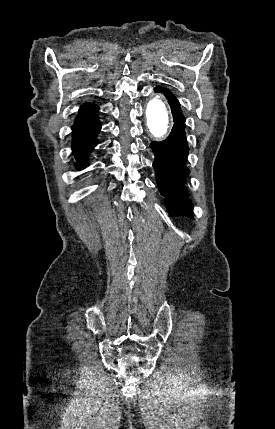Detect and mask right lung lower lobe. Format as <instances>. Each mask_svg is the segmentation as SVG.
I'll return each instance as SVG.
<instances>
[{"label": "right lung lower lobe", "mask_w": 275, "mask_h": 429, "mask_svg": "<svg viewBox=\"0 0 275 429\" xmlns=\"http://www.w3.org/2000/svg\"><path fill=\"white\" fill-rule=\"evenodd\" d=\"M95 113L77 119L72 126V149L77 161L76 166L79 169L86 167V158L97 144L96 136L101 128V123Z\"/></svg>", "instance_id": "1"}]
</instances>
